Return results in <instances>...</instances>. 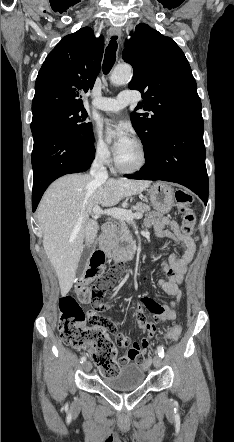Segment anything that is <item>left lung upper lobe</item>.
I'll list each match as a JSON object with an SVG mask.
<instances>
[{
    "label": "left lung upper lobe",
    "mask_w": 234,
    "mask_h": 442,
    "mask_svg": "<svg viewBox=\"0 0 234 442\" xmlns=\"http://www.w3.org/2000/svg\"><path fill=\"white\" fill-rule=\"evenodd\" d=\"M123 59L133 67L130 89L141 92L143 101L130 119L150 157L160 135L171 125L201 116V101L188 60L173 39L147 24L136 26Z\"/></svg>",
    "instance_id": "left-lung-upper-lobe-1"
}]
</instances>
